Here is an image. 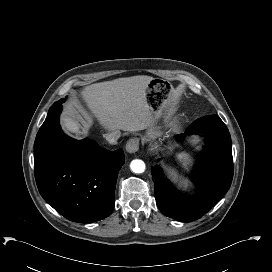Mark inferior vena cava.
Segmentation results:
<instances>
[{
  "mask_svg": "<svg viewBox=\"0 0 272 272\" xmlns=\"http://www.w3.org/2000/svg\"><path fill=\"white\" fill-rule=\"evenodd\" d=\"M121 133L120 131H113L111 133H108L106 135V140L110 143V144H117V140L120 138Z\"/></svg>",
  "mask_w": 272,
  "mask_h": 272,
  "instance_id": "602c4592",
  "label": "inferior vena cava"
}]
</instances>
